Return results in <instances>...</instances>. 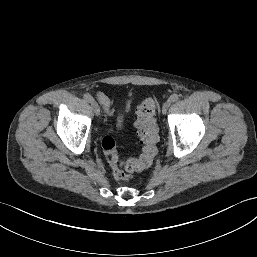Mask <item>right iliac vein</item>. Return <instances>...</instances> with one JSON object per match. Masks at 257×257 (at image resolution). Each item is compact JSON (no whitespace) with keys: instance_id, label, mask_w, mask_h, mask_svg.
I'll list each match as a JSON object with an SVG mask.
<instances>
[{"instance_id":"63e3f726","label":"right iliac vein","mask_w":257,"mask_h":257,"mask_svg":"<svg viewBox=\"0 0 257 257\" xmlns=\"http://www.w3.org/2000/svg\"><path fill=\"white\" fill-rule=\"evenodd\" d=\"M91 105L93 107L94 113L98 116L100 114V107H99L98 103L95 100H93L91 102Z\"/></svg>"}]
</instances>
